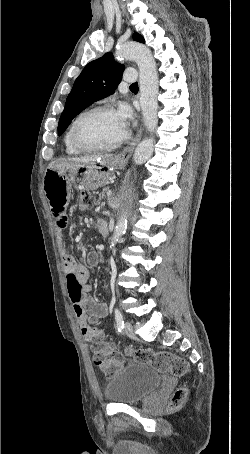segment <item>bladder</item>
<instances>
[{"instance_id": "obj_1", "label": "bladder", "mask_w": 250, "mask_h": 454, "mask_svg": "<svg viewBox=\"0 0 250 454\" xmlns=\"http://www.w3.org/2000/svg\"><path fill=\"white\" fill-rule=\"evenodd\" d=\"M161 381L162 375L148 364L130 363L107 379L104 392L110 402L134 404L152 394Z\"/></svg>"}]
</instances>
